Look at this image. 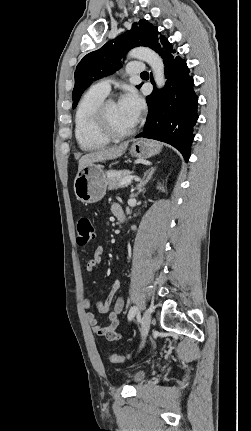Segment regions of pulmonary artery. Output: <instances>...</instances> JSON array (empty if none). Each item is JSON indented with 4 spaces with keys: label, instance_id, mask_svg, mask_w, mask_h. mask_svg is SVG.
Returning <instances> with one entry per match:
<instances>
[{
    "label": "pulmonary artery",
    "instance_id": "obj_1",
    "mask_svg": "<svg viewBox=\"0 0 251 431\" xmlns=\"http://www.w3.org/2000/svg\"><path fill=\"white\" fill-rule=\"evenodd\" d=\"M145 70V64L142 62H131L128 64L127 66V74L129 75H136V74H140ZM95 88L99 89L100 91L108 94L110 91V81L107 79L101 80L99 82H97L94 85Z\"/></svg>",
    "mask_w": 251,
    "mask_h": 431
}]
</instances>
